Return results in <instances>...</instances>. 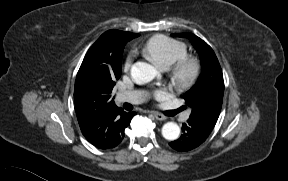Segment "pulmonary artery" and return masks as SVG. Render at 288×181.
<instances>
[{
    "label": "pulmonary artery",
    "mask_w": 288,
    "mask_h": 181,
    "mask_svg": "<svg viewBox=\"0 0 288 181\" xmlns=\"http://www.w3.org/2000/svg\"><path fill=\"white\" fill-rule=\"evenodd\" d=\"M145 99V94L137 90H124L117 93V100L119 102H127L132 104H137L142 102ZM189 118V114L186 113L183 116L184 120Z\"/></svg>",
    "instance_id": "1"
}]
</instances>
